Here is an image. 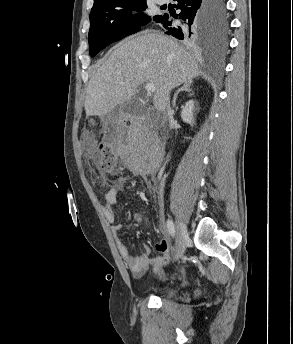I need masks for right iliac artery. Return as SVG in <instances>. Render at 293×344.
Wrapping results in <instances>:
<instances>
[{"label":"right iliac artery","mask_w":293,"mask_h":344,"mask_svg":"<svg viewBox=\"0 0 293 344\" xmlns=\"http://www.w3.org/2000/svg\"><path fill=\"white\" fill-rule=\"evenodd\" d=\"M167 229H168V232L169 234L174 237L175 236V226H174V223L171 221V220H167Z\"/></svg>","instance_id":"82829eb1"}]
</instances>
